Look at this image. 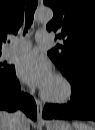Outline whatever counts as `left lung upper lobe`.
I'll return each mask as SVG.
<instances>
[{"label": "left lung upper lobe", "instance_id": "obj_1", "mask_svg": "<svg viewBox=\"0 0 95 130\" xmlns=\"http://www.w3.org/2000/svg\"><path fill=\"white\" fill-rule=\"evenodd\" d=\"M53 9L48 31H58L64 44L48 52L63 74L95 67V0H44Z\"/></svg>", "mask_w": 95, "mask_h": 130}]
</instances>
